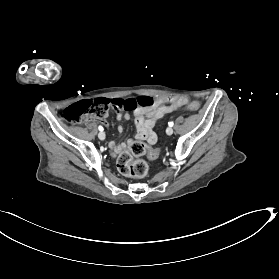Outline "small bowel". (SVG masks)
I'll list each match as a JSON object with an SVG mask.
<instances>
[{
    "label": "small bowel",
    "instance_id": "obj_1",
    "mask_svg": "<svg viewBox=\"0 0 279 279\" xmlns=\"http://www.w3.org/2000/svg\"><path fill=\"white\" fill-rule=\"evenodd\" d=\"M155 105L152 108H139L134 112L135 125H136V138L138 140H144L149 144H154L156 142V134L153 128L156 122L164 117L166 114L171 113L178 108L186 104V100L183 98H173L168 96H158L155 99ZM118 120L130 118L129 113H118ZM118 131L121 133L123 127L118 126ZM132 141L127 143L111 142L110 148L114 154H117L125 150Z\"/></svg>",
    "mask_w": 279,
    "mask_h": 279
}]
</instances>
